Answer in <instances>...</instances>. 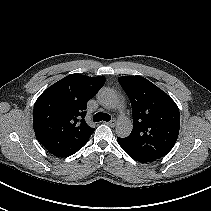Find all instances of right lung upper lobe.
I'll return each mask as SVG.
<instances>
[{"instance_id": "1", "label": "right lung upper lobe", "mask_w": 211, "mask_h": 211, "mask_svg": "<svg viewBox=\"0 0 211 211\" xmlns=\"http://www.w3.org/2000/svg\"><path fill=\"white\" fill-rule=\"evenodd\" d=\"M104 83V76L70 74L38 97L33 110L34 132L50 153L68 157L87 143L95 129L84 120L86 104Z\"/></svg>"}]
</instances>
